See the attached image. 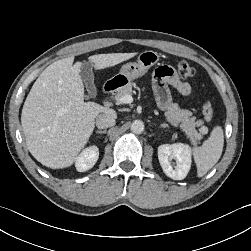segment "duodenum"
I'll return each mask as SVG.
<instances>
[{"instance_id":"410a0bca","label":"duodenum","mask_w":251,"mask_h":251,"mask_svg":"<svg viewBox=\"0 0 251 251\" xmlns=\"http://www.w3.org/2000/svg\"><path fill=\"white\" fill-rule=\"evenodd\" d=\"M118 87V83L116 81H111V82H108L104 88H103V91L104 93H111L113 92L116 88Z\"/></svg>"}]
</instances>
